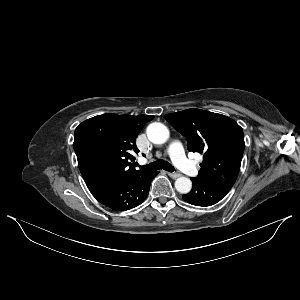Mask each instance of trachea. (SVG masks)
I'll use <instances>...</instances> for the list:
<instances>
[{"instance_id": "3493384b", "label": "trachea", "mask_w": 300, "mask_h": 300, "mask_svg": "<svg viewBox=\"0 0 300 300\" xmlns=\"http://www.w3.org/2000/svg\"><path fill=\"white\" fill-rule=\"evenodd\" d=\"M141 168L145 169V170H159V169H164L168 172H174L175 168L168 162L165 160H157L154 161L150 164H147L145 166H140Z\"/></svg>"}]
</instances>
